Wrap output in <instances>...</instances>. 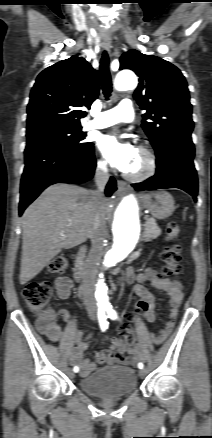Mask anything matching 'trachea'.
I'll list each match as a JSON object with an SVG mask.
<instances>
[{"mask_svg": "<svg viewBox=\"0 0 212 438\" xmlns=\"http://www.w3.org/2000/svg\"><path fill=\"white\" fill-rule=\"evenodd\" d=\"M100 75L104 96L106 100H109L112 93V79L109 71V57L106 51L103 52L100 60Z\"/></svg>", "mask_w": 212, "mask_h": 438, "instance_id": "1", "label": "trachea"}]
</instances>
